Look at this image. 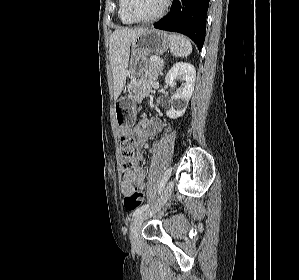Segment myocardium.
<instances>
[{"label":"myocardium","instance_id":"obj_1","mask_svg":"<svg viewBox=\"0 0 299 280\" xmlns=\"http://www.w3.org/2000/svg\"><path fill=\"white\" fill-rule=\"evenodd\" d=\"M169 4H170V0H164L161 9L155 15H153L149 18L140 19V18L135 17L133 15V13L131 12V0H125V12H126V15L128 16V18L132 22L144 24V23L153 22V21L159 19L160 17H162L164 15V13L166 12Z\"/></svg>","mask_w":299,"mask_h":280}]
</instances>
